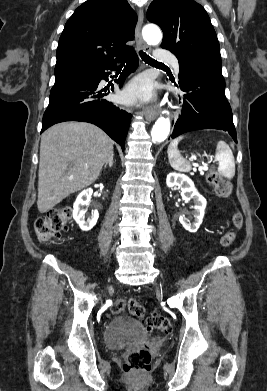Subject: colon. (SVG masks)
I'll return each instance as SVG.
<instances>
[{"mask_svg":"<svg viewBox=\"0 0 267 391\" xmlns=\"http://www.w3.org/2000/svg\"><path fill=\"white\" fill-rule=\"evenodd\" d=\"M208 182L214 187L220 197H229L232 193V185L217 171L210 170L207 175ZM72 210L70 207H56L49 210L46 215L39 217L35 222V233L41 243H49L59 238L62 232L70 229ZM236 228L242 226L243 218L236 213L233 218ZM235 239L234 233H228L221 239V244L228 247ZM128 310L132 315L142 320L148 332L160 331L168 333L171 330L170 320L161 314H146L143 306L133 298H122L115 301L113 312L119 313ZM151 354L145 348L131 350L125 358L124 370L128 374L141 375L150 368Z\"/></svg>","mask_w":267,"mask_h":391,"instance_id":"1","label":"colon"}]
</instances>
